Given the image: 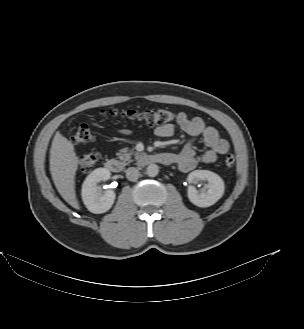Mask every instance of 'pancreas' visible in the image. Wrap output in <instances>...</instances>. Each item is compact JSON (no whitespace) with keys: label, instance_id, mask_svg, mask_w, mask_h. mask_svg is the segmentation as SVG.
Masks as SVG:
<instances>
[{"label":"pancreas","instance_id":"1","mask_svg":"<svg viewBox=\"0 0 304 329\" xmlns=\"http://www.w3.org/2000/svg\"><path fill=\"white\" fill-rule=\"evenodd\" d=\"M120 160H122L124 163H129L132 161V156H134L136 159L141 158L143 156L142 153L134 152L133 150L128 151L127 148L121 149L118 153H116Z\"/></svg>","mask_w":304,"mask_h":329}]
</instances>
